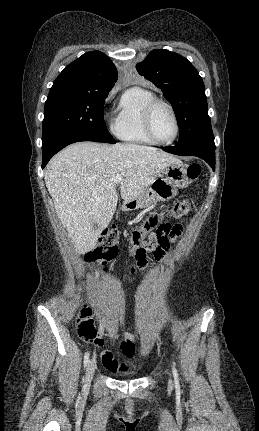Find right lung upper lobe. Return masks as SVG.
Listing matches in <instances>:
<instances>
[{"label":"right lung upper lobe","instance_id":"cb5924a9","mask_svg":"<svg viewBox=\"0 0 259 431\" xmlns=\"http://www.w3.org/2000/svg\"><path fill=\"white\" fill-rule=\"evenodd\" d=\"M117 78L116 67L109 57L100 51H91L66 66L54 81L50 91L107 93Z\"/></svg>","mask_w":259,"mask_h":431}]
</instances>
